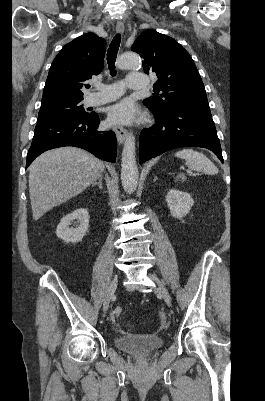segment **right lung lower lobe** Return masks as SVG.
I'll return each instance as SVG.
<instances>
[{"mask_svg":"<svg viewBox=\"0 0 265 401\" xmlns=\"http://www.w3.org/2000/svg\"><path fill=\"white\" fill-rule=\"evenodd\" d=\"M99 123V116L94 112L83 117L51 116L38 120L26 168L41 153L62 146L83 148L100 159L115 162V133L98 130Z\"/></svg>","mask_w":265,"mask_h":401,"instance_id":"98d812e1","label":"right lung lower lobe"}]
</instances>
